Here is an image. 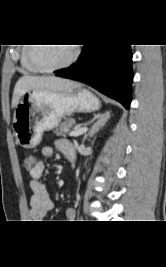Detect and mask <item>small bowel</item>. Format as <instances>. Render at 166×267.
<instances>
[{
    "instance_id": "small-bowel-1",
    "label": "small bowel",
    "mask_w": 166,
    "mask_h": 267,
    "mask_svg": "<svg viewBox=\"0 0 166 267\" xmlns=\"http://www.w3.org/2000/svg\"><path fill=\"white\" fill-rule=\"evenodd\" d=\"M55 147L66 157L68 161L75 158L74 145L66 139L55 141ZM53 154L51 146H45L41 149L43 157H50ZM45 171V164L42 161H36L35 165L29 170L30 188L33 195L30 199L29 217L32 220H41L54 208V202L48 194L46 186L42 183L41 178ZM75 218V211L70 208L65 212L63 222H72Z\"/></svg>"
}]
</instances>
